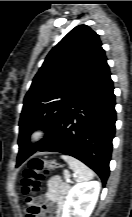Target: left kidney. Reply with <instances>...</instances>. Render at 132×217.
Returning <instances> with one entry per match:
<instances>
[{
    "instance_id": "5707ae66",
    "label": "left kidney",
    "mask_w": 132,
    "mask_h": 217,
    "mask_svg": "<svg viewBox=\"0 0 132 217\" xmlns=\"http://www.w3.org/2000/svg\"><path fill=\"white\" fill-rule=\"evenodd\" d=\"M100 192L97 181L78 183L69 191L63 206L62 217H89Z\"/></svg>"
}]
</instances>
